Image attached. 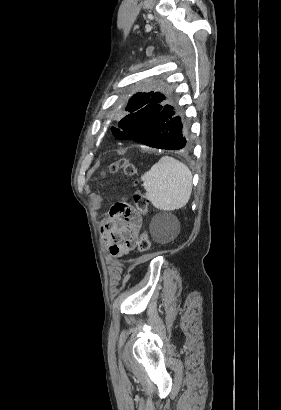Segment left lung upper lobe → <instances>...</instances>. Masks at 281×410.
Returning a JSON list of instances; mask_svg holds the SVG:
<instances>
[{
	"label": "left lung upper lobe",
	"instance_id": "left-lung-upper-lobe-1",
	"mask_svg": "<svg viewBox=\"0 0 281 410\" xmlns=\"http://www.w3.org/2000/svg\"><path fill=\"white\" fill-rule=\"evenodd\" d=\"M154 86L155 87H153V89L161 88L160 83L155 84ZM154 93H156V91L137 93L136 95L130 98L128 105L126 107V111L130 112L131 114L137 112L138 110L143 108L145 105H147L148 101L150 100V98L153 96ZM111 130H112L113 135L116 138L120 136V132L118 131L117 128L113 127Z\"/></svg>",
	"mask_w": 281,
	"mask_h": 410
}]
</instances>
